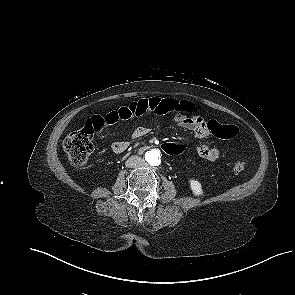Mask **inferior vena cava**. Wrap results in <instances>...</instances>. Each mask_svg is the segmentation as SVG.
Segmentation results:
<instances>
[{
	"instance_id": "obj_1",
	"label": "inferior vena cava",
	"mask_w": 295,
	"mask_h": 295,
	"mask_svg": "<svg viewBox=\"0 0 295 295\" xmlns=\"http://www.w3.org/2000/svg\"><path fill=\"white\" fill-rule=\"evenodd\" d=\"M143 164V159L139 156H131L126 161L125 165L128 168H137Z\"/></svg>"
}]
</instances>
